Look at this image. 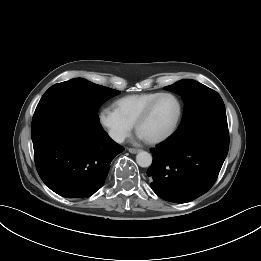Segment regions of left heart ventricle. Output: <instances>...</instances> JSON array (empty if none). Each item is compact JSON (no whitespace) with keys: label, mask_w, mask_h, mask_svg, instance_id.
<instances>
[{"label":"left heart ventricle","mask_w":261,"mask_h":261,"mask_svg":"<svg viewBox=\"0 0 261 261\" xmlns=\"http://www.w3.org/2000/svg\"><path fill=\"white\" fill-rule=\"evenodd\" d=\"M177 114V103L171 97L161 98L149 117L139 127L138 133L145 139L163 134L172 125Z\"/></svg>","instance_id":"1"}]
</instances>
